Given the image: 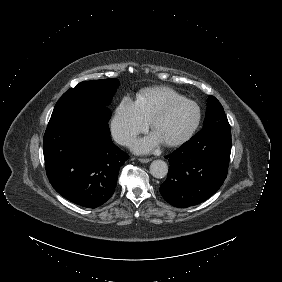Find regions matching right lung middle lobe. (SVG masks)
Returning <instances> with one entry per match:
<instances>
[{
	"label": "right lung middle lobe",
	"mask_w": 282,
	"mask_h": 282,
	"mask_svg": "<svg viewBox=\"0 0 282 282\" xmlns=\"http://www.w3.org/2000/svg\"><path fill=\"white\" fill-rule=\"evenodd\" d=\"M118 86L116 78L81 82L61 96L52 115L68 107H84L109 120L111 113L106 106L110 104Z\"/></svg>",
	"instance_id": "1"
}]
</instances>
